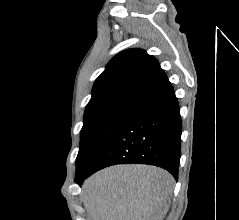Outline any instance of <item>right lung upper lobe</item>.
Listing matches in <instances>:
<instances>
[{
	"label": "right lung upper lobe",
	"mask_w": 239,
	"mask_h": 220,
	"mask_svg": "<svg viewBox=\"0 0 239 220\" xmlns=\"http://www.w3.org/2000/svg\"><path fill=\"white\" fill-rule=\"evenodd\" d=\"M168 78L158 61L142 49H128L113 57L96 79L84 117L132 105Z\"/></svg>",
	"instance_id": "obj_1"
}]
</instances>
